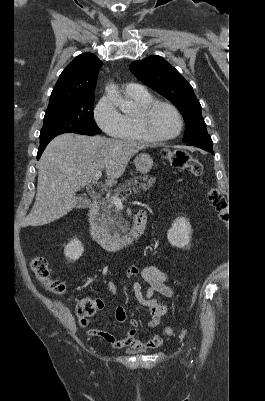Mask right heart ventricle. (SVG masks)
<instances>
[{
	"mask_svg": "<svg viewBox=\"0 0 265 401\" xmlns=\"http://www.w3.org/2000/svg\"><path fill=\"white\" fill-rule=\"evenodd\" d=\"M126 97L135 105V111L126 112L123 110L122 120L123 126L120 133L116 136L117 139L109 143H119L124 141H144V137L139 129L137 116L139 110L145 105L153 101L152 96L145 90L141 92H125Z\"/></svg>",
	"mask_w": 265,
	"mask_h": 401,
	"instance_id": "obj_1",
	"label": "right heart ventricle"
}]
</instances>
